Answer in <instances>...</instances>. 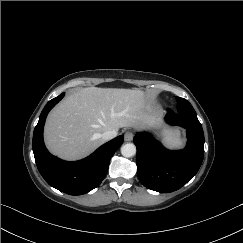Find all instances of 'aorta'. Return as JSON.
Wrapping results in <instances>:
<instances>
[{
	"label": "aorta",
	"mask_w": 243,
	"mask_h": 243,
	"mask_svg": "<svg viewBox=\"0 0 243 243\" xmlns=\"http://www.w3.org/2000/svg\"><path fill=\"white\" fill-rule=\"evenodd\" d=\"M121 154L124 157H132L136 154V146L133 143H126L121 147Z\"/></svg>",
	"instance_id": "762f6f07"
}]
</instances>
